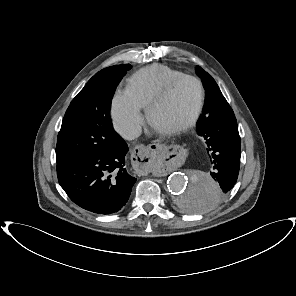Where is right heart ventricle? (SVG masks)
Returning a JSON list of instances; mask_svg holds the SVG:
<instances>
[{"label": "right heart ventricle", "instance_id": "e07e8e85", "mask_svg": "<svg viewBox=\"0 0 296 296\" xmlns=\"http://www.w3.org/2000/svg\"><path fill=\"white\" fill-rule=\"evenodd\" d=\"M180 75L183 73L169 66L153 64L133 74L126 91L141 108H146L168 82Z\"/></svg>", "mask_w": 296, "mask_h": 296}]
</instances>
